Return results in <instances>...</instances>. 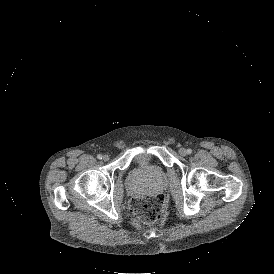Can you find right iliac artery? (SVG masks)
I'll return each instance as SVG.
<instances>
[{"label": "right iliac artery", "mask_w": 274, "mask_h": 274, "mask_svg": "<svg viewBox=\"0 0 274 274\" xmlns=\"http://www.w3.org/2000/svg\"><path fill=\"white\" fill-rule=\"evenodd\" d=\"M97 158L102 159V155L101 154L97 155Z\"/></svg>", "instance_id": "obj_1"}]
</instances>
